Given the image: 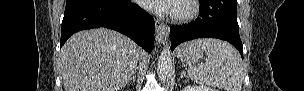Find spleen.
I'll return each mask as SVG.
<instances>
[{
	"instance_id": "spleen-1",
	"label": "spleen",
	"mask_w": 304,
	"mask_h": 91,
	"mask_svg": "<svg viewBox=\"0 0 304 91\" xmlns=\"http://www.w3.org/2000/svg\"><path fill=\"white\" fill-rule=\"evenodd\" d=\"M196 43L208 59L205 63L189 66L191 80L225 91H241L244 68L237 50L228 42L213 38L199 39Z\"/></svg>"
}]
</instances>
